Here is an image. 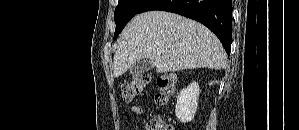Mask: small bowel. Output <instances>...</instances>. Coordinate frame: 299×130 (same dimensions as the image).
<instances>
[{"instance_id": "small-bowel-1", "label": "small bowel", "mask_w": 299, "mask_h": 130, "mask_svg": "<svg viewBox=\"0 0 299 130\" xmlns=\"http://www.w3.org/2000/svg\"><path fill=\"white\" fill-rule=\"evenodd\" d=\"M143 113V109L138 106L134 105L131 107V115H141Z\"/></svg>"}]
</instances>
